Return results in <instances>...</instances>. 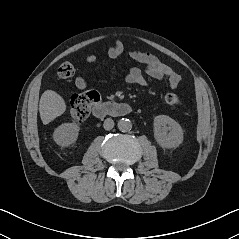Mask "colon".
I'll list each match as a JSON object with an SVG mask.
<instances>
[{
    "label": "colon",
    "instance_id": "colon-1",
    "mask_svg": "<svg viewBox=\"0 0 239 239\" xmlns=\"http://www.w3.org/2000/svg\"><path fill=\"white\" fill-rule=\"evenodd\" d=\"M58 76L66 79L72 77L75 73V68L72 63L64 62L58 68ZM100 102V95L95 91H88L75 94L71 99V117L76 122L85 121L91 112L92 107ZM167 105L173 108L181 106V101L176 94L169 93L165 96Z\"/></svg>",
    "mask_w": 239,
    "mask_h": 239
}]
</instances>
